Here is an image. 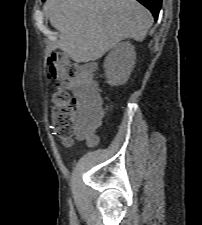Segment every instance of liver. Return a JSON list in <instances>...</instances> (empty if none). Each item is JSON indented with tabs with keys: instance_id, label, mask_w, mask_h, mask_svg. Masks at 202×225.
I'll use <instances>...</instances> for the list:
<instances>
[{
	"instance_id": "1",
	"label": "liver",
	"mask_w": 202,
	"mask_h": 225,
	"mask_svg": "<svg viewBox=\"0 0 202 225\" xmlns=\"http://www.w3.org/2000/svg\"><path fill=\"white\" fill-rule=\"evenodd\" d=\"M44 10L59 32L54 47L76 63L98 60L123 39L143 41L153 22L136 0H47Z\"/></svg>"
}]
</instances>
